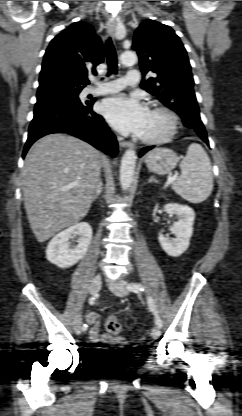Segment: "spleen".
<instances>
[{"mask_svg": "<svg viewBox=\"0 0 242 416\" xmlns=\"http://www.w3.org/2000/svg\"><path fill=\"white\" fill-rule=\"evenodd\" d=\"M180 169L181 176L172 183V189L191 203L206 200L213 189V173L210 159L200 144L189 145Z\"/></svg>", "mask_w": 242, "mask_h": 416, "instance_id": "1", "label": "spleen"}]
</instances>
